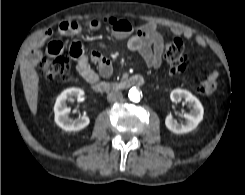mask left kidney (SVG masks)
I'll return each instance as SVG.
<instances>
[{
	"instance_id": "5707ae66",
	"label": "left kidney",
	"mask_w": 245,
	"mask_h": 195,
	"mask_svg": "<svg viewBox=\"0 0 245 195\" xmlns=\"http://www.w3.org/2000/svg\"><path fill=\"white\" fill-rule=\"evenodd\" d=\"M170 98L173 102L183 99L192 107V110L189 114H184V124H179L172 114H169L165 119L166 127L176 134L188 133L194 130L203 120L204 109L201 102L192 93L182 89H174L170 94Z\"/></svg>"
}]
</instances>
